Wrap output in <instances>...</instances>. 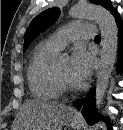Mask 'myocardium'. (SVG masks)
Instances as JSON below:
<instances>
[{
	"mask_svg": "<svg viewBox=\"0 0 123 130\" xmlns=\"http://www.w3.org/2000/svg\"><path fill=\"white\" fill-rule=\"evenodd\" d=\"M54 80L60 93L72 94L77 91L78 87L68 85L58 74L56 67H53Z\"/></svg>",
	"mask_w": 123,
	"mask_h": 130,
	"instance_id": "1",
	"label": "myocardium"
}]
</instances>
